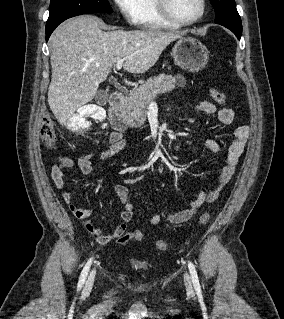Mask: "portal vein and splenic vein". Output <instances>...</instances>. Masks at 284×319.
Returning <instances> with one entry per match:
<instances>
[{
	"instance_id": "portal-vein-and-splenic-vein-1",
	"label": "portal vein and splenic vein",
	"mask_w": 284,
	"mask_h": 319,
	"mask_svg": "<svg viewBox=\"0 0 284 319\" xmlns=\"http://www.w3.org/2000/svg\"><path fill=\"white\" fill-rule=\"evenodd\" d=\"M123 62L124 60L123 59H120L116 62V69L117 70H120L122 68V65H123Z\"/></svg>"
}]
</instances>
